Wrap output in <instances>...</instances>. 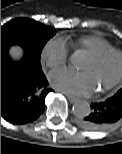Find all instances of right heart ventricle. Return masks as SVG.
Masks as SVG:
<instances>
[{"instance_id":"right-heart-ventricle-1","label":"right heart ventricle","mask_w":122,"mask_h":154,"mask_svg":"<svg viewBox=\"0 0 122 154\" xmlns=\"http://www.w3.org/2000/svg\"><path fill=\"white\" fill-rule=\"evenodd\" d=\"M68 44L73 49L85 50L89 55L113 49L106 39L98 36H81L74 40H68Z\"/></svg>"}]
</instances>
